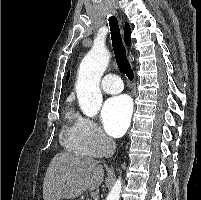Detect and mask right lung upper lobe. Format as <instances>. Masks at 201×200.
Masks as SVG:
<instances>
[{"label":"right lung upper lobe","mask_w":201,"mask_h":200,"mask_svg":"<svg viewBox=\"0 0 201 200\" xmlns=\"http://www.w3.org/2000/svg\"><path fill=\"white\" fill-rule=\"evenodd\" d=\"M124 40H125L126 45H130V43H131V39H130V26H129L128 23L125 24ZM69 75H70V72H68V74H67V79H69Z\"/></svg>","instance_id":"cb5924a9"}]
</instances>
